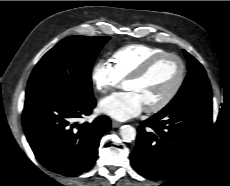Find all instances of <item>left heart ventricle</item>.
<instances>
[{
	"label": "left heart ventricle",
	"mask_w": 230,
	"mask_h": 186,
	"mask_svg": "<svg viewBox=\"0 0 230 186\" xmlns=\"http://www.w3.org/2000/svg\"><path fill=\"white\" fill-rule=\"evenodd\" d=\"M180 66L172 58L159 62L143 79L127 81L124 89L134 92L143 107H150L162 100L171 90L179 76Z\"/></svg>",
	"instance_id": "left-heart-ventricle-1"
}]
</instances>
